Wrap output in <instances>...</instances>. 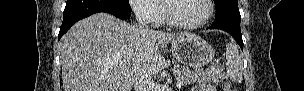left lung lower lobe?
Returning <instances> with one entry per match:
<instances>
[{
    "instance_id": "obj_1",
    "label": "left lung lower lobe",
    "mask_w": 304,
    "mask_h": 91,
    "mask_svg": "<svg viewBox=\"0 0 304 91\" xmlns=\"http://www.w3.org/2000/svg\"><path fill=\"white\" fill-rule=\"evenodd\" d=\"M241 16L239 10L232 11L229 14L216 19L212 26L207 29H221L229 32L231 36L239 44L240 48L243 50V40L240 30Z\"/></svg>"
}]
</instances>
